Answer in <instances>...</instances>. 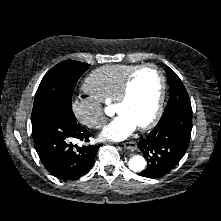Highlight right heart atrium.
I'll return each instance as SVG.
<instances>
[{
    "instance_id": "obj_1",
    "label": "right heart atrium",
    "mask_w": 221,
    "mask_h": 221,
    "mask_svg": "<svg viewBox=\"0 0 221 221\" xmlns=\"http://www.w3.org/2000/svg\"><path fill=\"white\" fill-rule=\"evenodd\" d=\"M75 118L84 126L99 129L105 122V111L101 103L90 95H78L71 100Z\"/></svg>"
}]
</instances>
